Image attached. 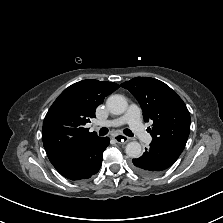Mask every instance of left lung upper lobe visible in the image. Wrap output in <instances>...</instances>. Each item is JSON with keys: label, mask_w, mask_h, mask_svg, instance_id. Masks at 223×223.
<instances>
[{"label": "left lung upper lobe", "mask_w": 223, "mask_h": 223, "mask_svg": "<svg viewBox=\"0 0 223 223\" xmlns=\"http://www.w3.org/2000/svg\"><path fill=\"white\" fill-rule=\"evenodd\" d=\"M141 105L145 122L153 120V142L184 149L190 133V114L182 99L165 83L148 77H136L121 84Z\"/></svg>", "instance_id": "1"}]
</instances>
